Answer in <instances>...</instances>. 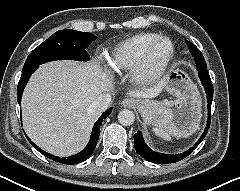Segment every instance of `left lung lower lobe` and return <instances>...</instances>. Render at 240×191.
I'll return each mask as SVG.
<instances>
[{
  "instance_id": "0a47b994",
  "label": "left lung lower lobe",
  "mask_w": 240,
  "mask_h": 191,
  "mask_svg": "<svg viewBox=\"0 0 240 191\" xmlns=\"http://www.w3.org/2000/svg\"><path fill=\"white\" fill-rule=\"evenodd\" d=\"M197 70L199 72L201 83L205 88V91L207 94V102H208V120H207V124L203 134L201 135L200 139L195 143V145L190 149H188L187 151L177 155H168V154L154 152L153 150H151L144 142L142 133L138 131L134 136L135 150L144 159L157 164H168V163L178 162L184 159L185 157H187L206 136L208 129L210 127V122H211L210 114H211V103L213 100V85L207 69L197 67Z\"/></svg>"
}]
</instances>
